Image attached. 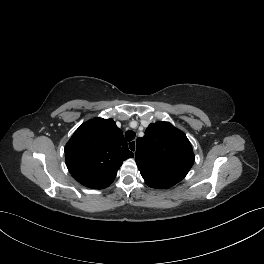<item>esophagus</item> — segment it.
<instances>
[{
  "mask_svg": "<svg viewBox=\"0 0 264 264\" xmlns=\"http://www.w3.org/2000/svg\"><path fill=\"white\" fill-rule=\"evenodd\" d=\"M128 148H129L130 151H132L133 153H135L136 152V141L135 140L130 141L128 143Z\"/></svg>",
  "mask_w": 264,
  "mask_h": 264,
  "instance_id": "obj_1",
  "label": "esophagus"
}]
</instances>
